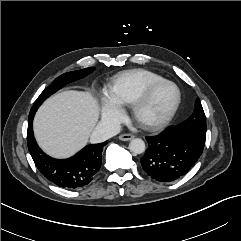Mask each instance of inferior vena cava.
<instances>
[{"mask_svg":"<svg viewBox=\"0 0 241 241\" xmlns=\"http://www.w3.org/2000/svg\"><path fill=\"white\" fill-rule=\"evenodd\" d=\"M121 130V126L116 123L99 122L90 136L91 143H100L108 140L109 138L117 135Z\"/></svg>","mask_w":241,"mask_h":241,"instance_id":"1","label":"inferior vena cava"}]
</instances>
